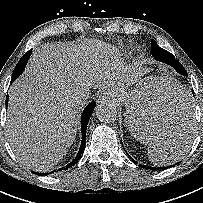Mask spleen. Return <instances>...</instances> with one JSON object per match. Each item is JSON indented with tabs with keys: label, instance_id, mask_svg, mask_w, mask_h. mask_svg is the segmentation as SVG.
<instances>
[{
	"label": "spleen",
	"instance_id": "1",
	"mask_svg": "<svg viewBox=\"0 0 203 203\" xmlns=\"http://www.w3.org/2000/svg\"><path fill=\"white\" fill-rule=\"evenodd\" d=\"M191 110L190 95L179 82L164 78L150 82L135 108L136 115L138 113L140 116L133 115L127 124L131 134L141 143L148 145V157L153 164L165 166L175 163L188 152L191 140L187 137L183 142L188 145L182 147L173 139L156 143L153 134H148V130L155 128L158 123L157 120L156 124H152V116L157 114L159 119L165 112L173 111L180 116L186 112L188 119L192 115ZM187 122L192 124V120Z\"/></svg>",
	"mask_w": 203,
	"mask_h": 203
}]
</instances>
